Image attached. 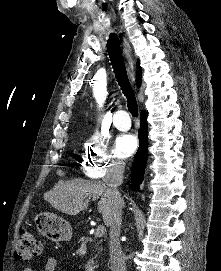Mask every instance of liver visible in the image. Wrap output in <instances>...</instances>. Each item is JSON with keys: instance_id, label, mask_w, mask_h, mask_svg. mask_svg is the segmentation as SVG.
I'll use <instances>...</instances> for the list:
<instances>
[{"instance_id": "liver-1", "label": "liver", "mask_w": 221, "mask_h": 271, "mask_svg": "<svg viewBox=\"0 0 221 271\" xmlns=\"http://www.w3.org/2000/svg\"><path fill=\"white\" fill-rule=\"evenodd\" d=\"M98 211H101L105 225H109L113 215L115 205L114 199L106 193V187L103 181H94V179H72V181H58L53 189L44 193V199L51 203L52 207L68 213V215H78L80 211L86 209L89 199L85 197H99ZM121 207H125V201L121 197L119 201Z\"/></svg>"}]
</instances>
